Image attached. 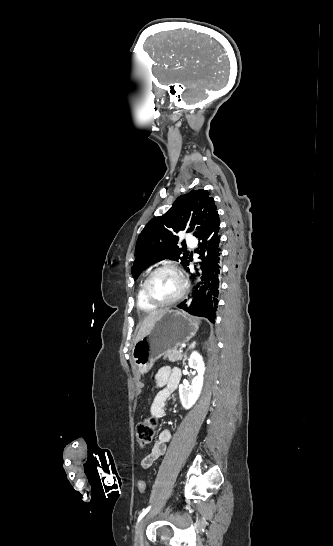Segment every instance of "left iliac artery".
Masks as SVG:
<instances>
[{
    "label": "left iliac artery",
    "mask_w": 333,
    "mask_h": 546,
    "mask_svg": "<svg viewBox=\"0 0 333 546\" xmlns=\"http://www.w3.org/2000/svg\"><path fill=\"white\" fill-rule=\"evenodd\" d=\"M150 509H151V506L145 508V509L141 512V514H140L139 517H138V522H139V521L148 513V511H149Z\"/></svg>",
    "instance_id": "1"
}]
</instances>
